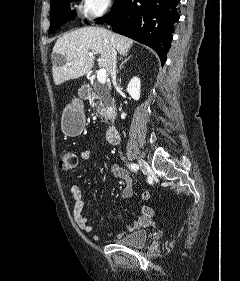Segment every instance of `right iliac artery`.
Masks as SVG:
<instances>
[{
  "mask_svg": "<svg viewBox=\"0 0 240 281\" xmlns=\"http://www.w3.org/2000/svg\"><path fill=\"white\" fill-rule=\"evenodd\" d=\"M129 167L131 168V170L137 171L139 169V166L137 164L131 163L129 165Z\"/></svg>",
  "mask_w": 240,
  "mask_h": 281,
  "instance_id": "82829eb1",
  "label": "right iliac artery"
}]
</instances>
